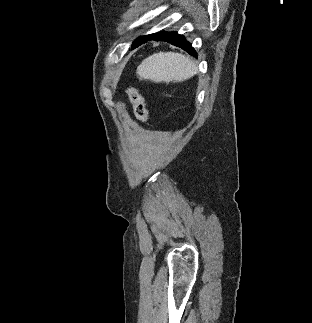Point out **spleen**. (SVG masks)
<instances>
[{
    "mask_svg": "<svg viewBox=\"0 0 312 323\" xmlns=\"http://www.w3.org/2000/svg\"><path fill=\"white\" fill-rule=\"evenodd\" d=\"M137 74L143 80L152 82H184L197 74V68L189 58L175 52L152 54L137 68Z\"/></svg>",
    "mask_w": 312,
    "mask_h": 323,
    "instance_id": "spleen-1",
    "label": "spleen"
}]
</instances>
